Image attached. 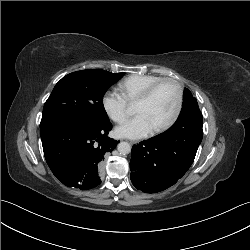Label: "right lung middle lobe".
Segmentation results:
<instances>
[{"label": "right lung middle lobe", "mask_w": 250, "mask_h": 250, "mask_svg": "<svg viewBox=\"0 0 250 250\" xmlns=\"http://www.w3.org/2000/svg\"><path fill=\"white\" fill-rule=\"evenodd\" d=\"M123 75L87 69L64 76L44 105L40 127L57 121L89 124L109 122L103 96Z\"/></svg>", "instance_id": "obj_1"}]
</instances>
